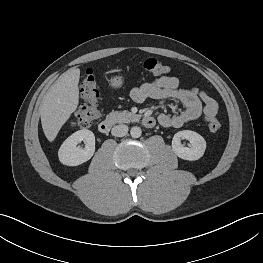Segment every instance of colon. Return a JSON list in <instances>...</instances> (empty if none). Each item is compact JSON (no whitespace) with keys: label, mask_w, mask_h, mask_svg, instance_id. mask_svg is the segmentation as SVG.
Returning a JSON list of instances; mask_svg holds the SVG:
<instances>
[{"label":"colon","mask_w":263,"mask_h":263,"mask_svg":"<svg viewBox=\"0 0 263 263\" xmlns=\"http://www.w3.org/2000/svg\"><path fill=\"white\" fill-rule=\"evenodd\" d=\"M144 69L153 76H165L170 72V67L150 58L144 61ZM80 93L84 104L76 111L74 115L75 123L81 127H87L93 124L99 118L98 101L100 92L96 83L95 75L92 70H87L80 85ZM220 122L216 118L208 120L210 131L216 132L220 129Z\"/></svg>","instance_id":"5ec220e1"}]
</instances>
